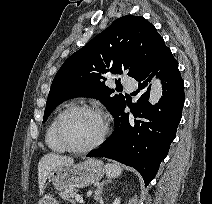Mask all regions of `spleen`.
Segmentation results:
<instances>
[{"instance_id": "spleen-1", "label": "spleen", "mask_w": 212, "mask_h": 204, "mask_svg": "<svg viewBox=\"0 0 212 204\" xmlns=\"http://www.w3.org/2000/svg\"><path fill=\"white\" fill-rule=\"evenodd\" d=\"M106 175L109 179L119 177L122 173V169L117 164H106L105 166Z\"/></svg>"}]
</instances>
